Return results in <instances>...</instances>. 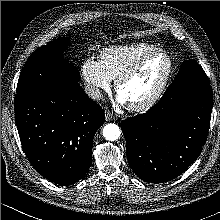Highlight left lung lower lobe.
Masks as SVG:
<instances>
[{"instance_id": "1", "label": "left lung lower lobe", "mask_w": 220, "mask_h": 220, "mask_svg": "<svg viewBox=\"0 0 220 220\" xmlns=\"http://www.w3.org/2000/svg\"><path fill=\"white\" fill-rule=\"evenodd\" d=\"M210 85L162 97L146 113L122 121L126 152L134 173L150 183L178 177L200 155L212 112Z\"/></svg>"}]
</instances>
